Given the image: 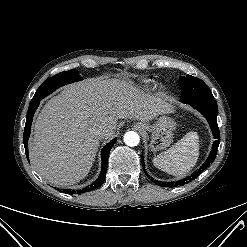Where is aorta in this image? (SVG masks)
Segmentation results:
<instances>
[{
    "label": "aorta",
    "instance_id": "obj_1",
    "mask_svg": "<svg viewBox=\"0 0 247 247\" xmlns=\"http://www.w3.org/2000/svg\"><path fill=\"white\" fill-rule=\"evenodd\" d=\"M139 141H140V137L138 133L134 131H128L124 135V142L128 146H131V147L136 146L138 145Z\"/></svg>",
    "mask_w": 247,
    "mask_h": 247
}]
</instances>
